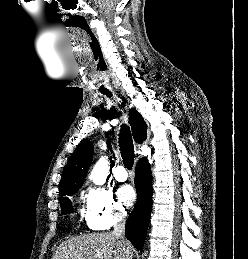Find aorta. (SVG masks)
<instances>
[{"label":"aorta","instance_id":"1","mask_svg":"<svg viewBox=\"0 0 248 259\" xmlns=\"http://www.w3.org/2000/svg\"><path fill=\"white\" fill-rule=\"evenodd\" d=\"M108 160L105 157H101L95 164L90 178L96 185H103L108 175Z\"/></svg>","mask_w":248,"mask_h":259}]
</instances>
